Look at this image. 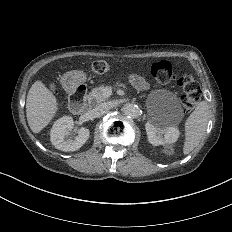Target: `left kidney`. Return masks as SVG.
Masks as SVG:
<instances>
[{
    "label": "left kidney",
    "instance_id": "5707ae66",
    "mask_svg": "<svg viewBox=\"0 0 232 232\" xmlns=\"http://www.w3.org/2000/svg\"><path fill=\"white\" fill-rule=\"evenodd\" d=\"M149 142L154 145L174 143L178 138V130L163 121H148L145 125Z\"/></svg>",
    "mask_w": 232,
    "mask_h": 232
}]
</instances>
